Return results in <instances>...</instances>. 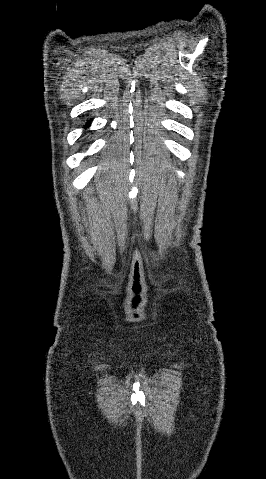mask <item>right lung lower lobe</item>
<instances>
[{
    "instance_id": "right-lung-lower-lobe-1",
    "label": "right lung lower lobe",
    "mask_w": 266,
    "mask_h": 479,
    "mask_svg": "<svg viewBox=\"0 0 266 479\" xmlns=\"http://www.w3.org/2000/svg\"><path fill=\"white\" fill-rule=\"evenodd\" d=\"M88 125H89V123H86V126H88Z\"/></svg>"
}]
</instances>
